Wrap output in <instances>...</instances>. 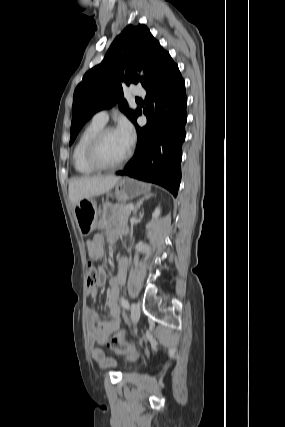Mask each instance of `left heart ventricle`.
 Returning <instances> with one entry per match:
<instances>
[{"label": "left heart ventricle", "instance_id": "left-heart-ventricle-1", "mask_svg": "<svg viewBox=\"0 0 285 427\" xmlns=\"http://www.w3.org/2000/svg\"><path fill=\"white\" fill-rule=\"evenodd\" d=\"M128 147L117 133V131L109 132L100 149V158L105 163H113L122 158L128 151Z\"/></svg>", "mask_w": 285, "mask_h": 427}]
</instances>
